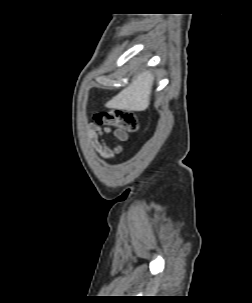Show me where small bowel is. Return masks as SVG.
Returning <instances> with one entry per match:
<instances>
[{"instance_id": "obj_1", "label": "small bowel", "mask_w": 252, "mask_h": 303, "mask_svg": "<svg viewBox=\"0 0 252 303\" xmlns=\"http://www.w3.org/2000/svg\"><path fill=\"white\" fill-rule=\"evenodd\" d=\"M100 136L112 137L115 143L107 144ZM86 137L90 147L103 159H112L115 155L123 151V143L127 140L128 134L122 129L112 130L109 127L99 128L90 126L86 131Z\"/></svg>"}]
</instances>
